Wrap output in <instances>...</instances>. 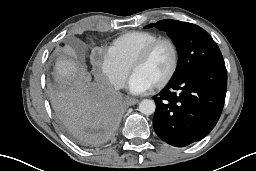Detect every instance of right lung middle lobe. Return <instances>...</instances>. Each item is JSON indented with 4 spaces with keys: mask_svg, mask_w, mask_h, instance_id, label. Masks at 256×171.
<instances>
[{
    "mask_svg": "<svg viewBox=\"0 0 256 171\" xmlns=\"http://www.w3.org/2000/svg\"><path fill=\"white\" fill-rule=\"evenodd\" d=\"M72 95H73V89L68 90V92L66 93V95L64 94V96L54 95L53 97L54 105L68 101L72 97Z\"/></svg>",
    "mask_w": 256,
    "mask_h": 171,
    "instance_id": "1",
    "label": "right lung middle lobe"
}]
</instances>
